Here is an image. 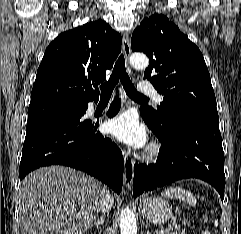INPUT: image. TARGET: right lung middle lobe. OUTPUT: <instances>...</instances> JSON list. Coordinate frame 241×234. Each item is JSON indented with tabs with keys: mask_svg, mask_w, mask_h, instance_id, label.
<instances>
[{
	"mask_svg": "<svg viewBox=\"0 0 241 234\" xmlns=\"http://www.w3.org/2000/svg\"><path fill=\"white\" fill-rule=\"evenodd\" d=\"M84 104H75L67 102H45L34 105H29L28 119L55 116L61 114L73 113L80 110Z\"/></svg>",
	"mask_w": 241,
	"mask_h": 234,
	"instance_id": "obj_1",
	"label": "right lung middle lobe"
}]
</instances>
